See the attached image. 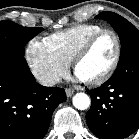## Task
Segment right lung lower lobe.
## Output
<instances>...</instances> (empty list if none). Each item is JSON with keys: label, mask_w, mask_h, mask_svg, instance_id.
Segmentation results:
<instances>
[{"label": "right lung lower lobe", "mask_w": 139, "mask_h": 139, "mask_svg": "<svg viewBox=\"0 0 139 139\" xmlns=\"http://www.w3.org/2000/svg\"><path fill=\"white\" fill-rule=\"evenodd\" d=\"M65 100L63 88L35 82L24 54L0 49V139H42Z\"/></svg>", "instance_id": "obj_1"}]
</instances>
